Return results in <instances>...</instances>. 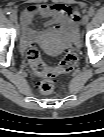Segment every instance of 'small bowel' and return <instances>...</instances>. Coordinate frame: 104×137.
<instances>
[{
    "mask_svg": "<svg viewBox=\"0 0 104 137\" xmlns=\"http://www.w3.org/2000/svg\"><path fill=\"white\" fill-rule=\"evenodd\" d=\"M36 15L46 20L51 30L58 33L70 35L72 42L76 41V23L79 15L71 7L60 3L34 4L27 6L21 14L23 29L22 46L26 47L33 40L40 38L43 33L35 32L31 28L32 21Z\"/></svg>",
    "mask_w": 104,
    "mask_h": 137,
    "instance_id": "small-bowel-1",
    "label": "small bowel"
}]
</instances>
